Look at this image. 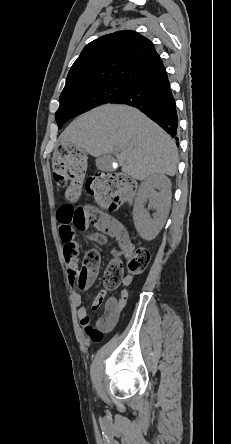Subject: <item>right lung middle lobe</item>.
<instances>
[{
    "label": "right lung middle lobe",
    "instance_id": "dd1d6c3e",
    "mask_svg": "<svg viewBox=\"0 0 231 444\" xmlns=\"http://www.w3.org/2000/svg\"><path fill=\"white\" fill-rule=\"evenodd\" d=\"M133 86L122 83H106L88 88L65 90L60 95V106L56 112L59 129L69 119L105 103H115L125 96Z\"/></svg>",
    "mask_w": 231,
    "mask_h": 444
}]
</instances>
